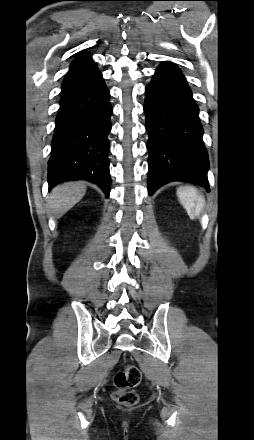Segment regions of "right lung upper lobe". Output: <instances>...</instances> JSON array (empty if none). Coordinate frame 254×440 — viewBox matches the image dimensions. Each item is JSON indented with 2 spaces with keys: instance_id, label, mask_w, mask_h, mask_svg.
Instances as JSON below:
<instances>
[{
  "instance_id": "right-lung-upper-lobe-1",
  "label": "right lung upper lobe",
  "mask_w": 254,
  "mask_h": 440,
  "mask_svg": "<svg viewBox=\"0 0 254 440\" xmlns=\"http://www.w3.org/2000/svg\"><path fill=\"white\" fill-rule=\"evenodd\" d=\"M91 61V54H82L81 56L77 57L73 63L71 64L70 68L76 67L78 65H81L83 63Z\"/></svg>"
}]
</instances>
